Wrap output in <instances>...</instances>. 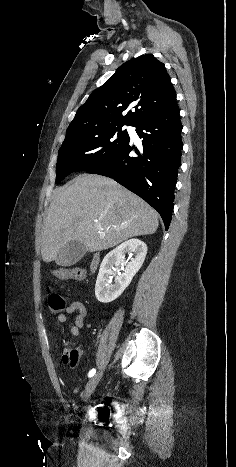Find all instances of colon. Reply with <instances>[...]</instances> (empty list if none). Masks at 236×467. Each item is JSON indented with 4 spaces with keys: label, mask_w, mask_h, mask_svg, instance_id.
I'll return each mask as SVG.
<instances>
[{
    "label": "colon",
    "mask_w": 236,
    "mask_h": 467,
    "mask_svg": "<svg viewBox=\"0 0 236 467\" xmlns=\"http://www.w3.org/2000/svg\"><path fill=\"white\" fill-rule=\"evenodd\" d=\"M54 276L57 279L66 280V279H74V280H81L84 277V270L79 267H59L55 269ZM47 306L49 312L51 314H59L65 308V301L56 292L51 291L46 298ZM65 358L67 361V365L71 368L77 366L78 358H79V350L72 348L68 350L65 354Z\"/></svg>",
    "instance_id": "5ec220e1"
}]
</instances>
